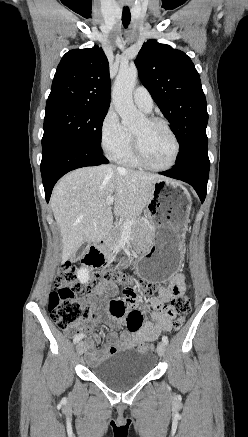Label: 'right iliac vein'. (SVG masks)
Segmentation results:
<instances>
[{
  "instance_id": "obj_1",
  "label": "right iliac vein",
  "mask_w": 248,
  "mask_h": 437,
  "mask_svg": "<svg viewBox=\"0 0 248 437\" xmlns=\"http://www.w3.org/2000/svg\"><path fill=\"white\" fill-rule=\"evenodd\" d=\"M85 349H86V345H85L84 342H79V343L76 345V351H77V353H78L79 355L83 354L84 351H85Z\"/></svg>"
}]
</instances>
